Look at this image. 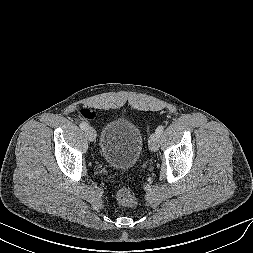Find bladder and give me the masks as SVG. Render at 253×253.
<instances>
[{"mask_svg":"<svg viewBox=\"0 0 253 253\" xmlns=\"http://www.w3.org/2000/svg\"><path fill=\"white\" fill-rule=\"evenodd\" d=\"M144 137L138 127L126 118L107 122L99 137V151L103 161L116 170H130L138 162Z\"/></svg>","mask_w":253,"mask_h":253,"instance_id":"obj_1","label":"bladder"}]
</instances>
